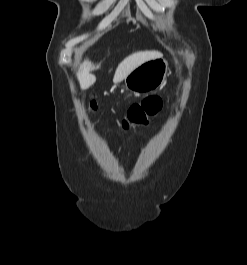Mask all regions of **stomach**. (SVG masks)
I'll return each instance as SVG.
<instances>
[{"mask_svg":"<svg viewBox=\"0 0 247 265\" xmlns=\"http://www.w3.org/2000/svg\"><path fill=\"white\" fill-rule=\"evenodd\" d=\"M167 71L168 63L162 57L146 61L125 78V87L137 94L151 93L163 85Z\"/></svg>","mask_w":247,"mask_h":265,"instance_id":"1","label":"stomach"}]
</instances>
